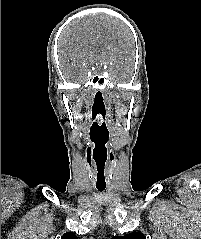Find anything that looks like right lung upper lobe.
Listing matches in <instances>:
<instances>
[{
    "instance_id": "1",
    "label": "right lung upper lobe",
    "mask_w": 201,
    "mask_h": 239,
    "mask_svg": "<svg viewBox=\"0 0 201 239\" xmlns=\"http://www.w3.org/2000/svg\"><path fill=\"white\" fill-rule=\"evenodd\" d=\"M61 239H77L76 235L71 232L64 233Z\"/></svg>"
}]
</instances>
